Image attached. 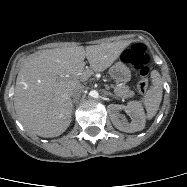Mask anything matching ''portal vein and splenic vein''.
<instances>
[{
	"label": "portal vein and splenic vein",
	"mask_w": 187,
	"mask_h": 187,
	"mask_svg": "<svg viewBox=\"0 0 187 187\" xmlns=\"http://www.w3.org/2000/svg\"><path fill=\"white\" fill-rule=\"evenodd\" d=\"M74 76L76 77V76H78V74L74 75ZM66 77H68V75H60V78H66Z\"/></svg>",
	"instance_id": "18ae733b"
}]
</instances>
